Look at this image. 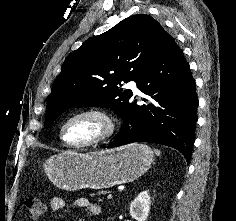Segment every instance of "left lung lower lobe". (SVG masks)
I'll use <instances>...</instances> for the list:
<instances>
[{
    "instance_id": "obj_1",
    "label": "left lung lower lobe",
    "mask_w": 236,
    "mask_h": 221,
    "mask_svg": "<svg viewBox=\"0 0 236 221\" xmlns=\"http://www.w3.org/2000/svg\"><path fill=\"white\" fill-rule=\"evenodd\" d=\"M136 84L151 102L140 106L136 99L131 100L122 116L121 132L108 148L133 142L158 143L179 150L189 162L199 102L183 51L168 33Z\"/></svg>"
}]
</instances>
